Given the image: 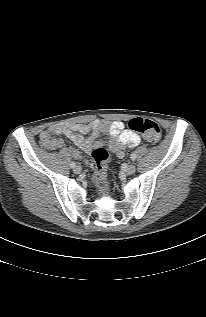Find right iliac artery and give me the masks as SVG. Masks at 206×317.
I'll list each match as a JSON object with an SVG mask.
<instances>
[{
  "label": "right iliac artery",
  "mask_w": 206,
  "mask_h": 317,
  "mask_svg": "<svg viewBox=\"0 0 206 317\" xmlns=\"http://www.w3.org/2000/svg\"><path fill=\"white\" fill-rule=\"evenodd\" d=\"M70 167H71V168H75V167H76V163H75V162H71V163H70Z\"/></svg>",
  "instance_id": "82829eb1"
}]
</instances>
